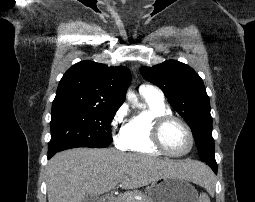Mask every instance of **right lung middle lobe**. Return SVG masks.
Returning a JSON list of instances; mask_svg holds the SVG:
<instances>
[{"label":"right lung middle lobe","instance_id":"dd1d6c3e","mask_svg":"<svg viewBox=\"0 0 255 202\" xmlns=\"http://www.w3.org/2000/svg\"><path fill=\"white\" fill-rule=\"evenodd\" d=\"M117 110L83 108L52 114L48 154L75 147H107L112 140L110 123Z\"/></svg>","mask_w":255,"mask_h":202}]
</instances>
